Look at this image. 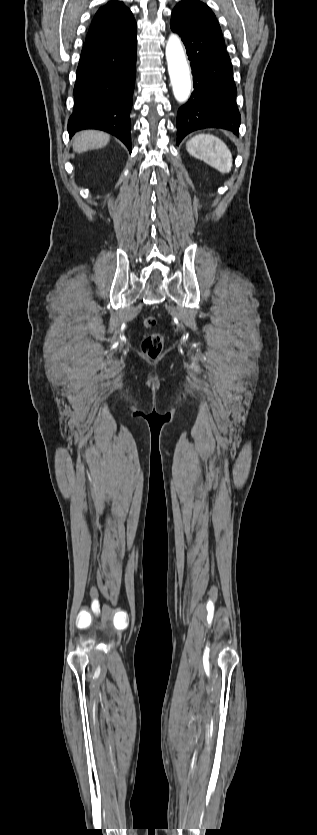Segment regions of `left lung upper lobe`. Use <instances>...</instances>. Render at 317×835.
I'll list each match as a JSON object with an SVG mask.
<instances>
[{
    "mask_svg": "<svg viewBox=\"0 0 317 835\" xmlns=\"http://www.w3.org/2000/svg\"><path fill=\"white\" fill-rule=\"evenodd\" d=\"M196 1H198V0H196ZM199 2H200V1H199ZM200 3H202V2H200ZM177 7H178V5H177L175 8H177ZM175 8H174V9H175Z\"/></svg>",
    "mask_w": 317,
    "mask_h": 835,
    "instance_id": "obj_1",
    "label": "left lung upper lobe"
}]
</instances>
